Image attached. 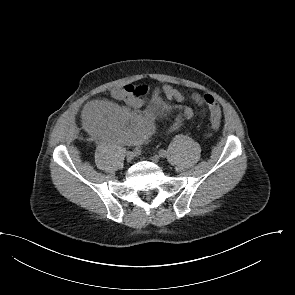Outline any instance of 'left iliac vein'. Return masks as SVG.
Segmentation results:
<instances>
[{
    "label": "left iliac vein",
    "instance_id": "4c4485c4",
    "mask_svg": "<svg viewBox=\"0 0 295 295\" xmlns=\"http://www.w3.org/2000/svg\"><path fill=\"white\" fill-rule=\"evenodd\" d=\"M151 160L154 162V163H158L159 160H160V156L155 154L151 157Z\"/></svg>",
    "mask_w": 295,
    "mask_h": 295
}]
</instances>
